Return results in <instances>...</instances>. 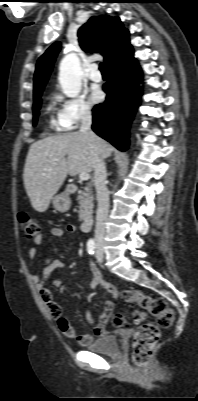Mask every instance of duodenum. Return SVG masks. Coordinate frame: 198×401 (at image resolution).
Masks as SVG:
<instances>
[{"label":"duodenum","instance_id":"410a0bca","mask_svg":"<svg viewBox=\"0 0 198 401\" xmlns=\"http://www.w3.org/2000/svg\"><path fill=\"white\" fill-rule=\"evenodd\" d=\"M68 189L70 192H75L77 188L75 186L71 185V186H69ZM93 223H94V216L87 215L81 224V230L83 232H88L91 229Z\"/></svg>","mask_w":198,"mask_h":401}]
</instances>
